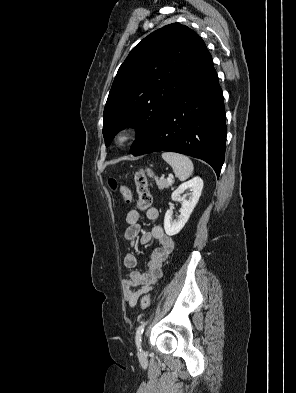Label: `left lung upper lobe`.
Wrapping results in <instances>:
<instances>
[{"label":"left lung upper lobe","mask_w":296,"mask_h":393,"mask_svg":"<svg viewBox=\"0 0 296 393\" xmlns=\"http://www.w3.org/2000/svg\"><path fill=\"white\" fill-rule=\"evenodd\" d=\"M209 57L198 34L179 23L144 38L120 66L112 84L104 108L106 146L119 130L132 126L138 133L130 150L133 153Z\"/></svg>","instance_id":"1"}]
</instances>
